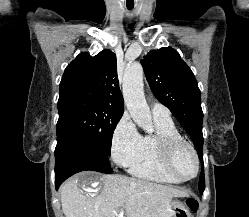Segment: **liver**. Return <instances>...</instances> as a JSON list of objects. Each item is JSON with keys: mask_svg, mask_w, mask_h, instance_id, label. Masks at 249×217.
Returning a JSON list of instances; mask_svg holds the SVG:
<instances>
[{"mask_svg": "<svg viewBox=\"0 0 249 217\" xmlns=\"http://www.w3.org/2000/svg\"><path fill=\"white\" fill-rule=\"evenodd\" d=\"M88 183L103 185L98 193L86 192L80 187ZM61 206L65 217H172L171 200L187 193L123 175L82 173L61 186Z\"/></svg>", "mask_w": 249, "mask_h": 217, "instance_id": "1", "label": "liver"}]
</instances>
